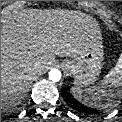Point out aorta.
<instances>
[{
    "mask_svg": "<svg viewBox=\"0 0 122 122\" xmlns=\"http://www.w3.org/2000/svg\"><path fill=\"white\" fill-rule=\"evenodd\" d=\"M49 79L53 82H58L61 79V72L58 69H52L49 72Z\"/></svg>",
    "mask_w": 122,
    "mask_h": 122,
    "instance_id": "obj_1",
    "label": "aorta"
}]
</instances>
